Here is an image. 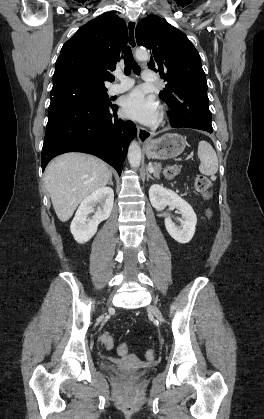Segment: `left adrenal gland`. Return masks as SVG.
Returning a JSON list of instances; mask_svg holds the SVG:
<instances>
[{
	"label": "left adrenal gland",
	"instance_id": "1",
	"mask_svg": "<svg viewBox=\"0 0 264 419\" xmlns=\"http://www.w3.org/2000/svg\"><path fill=\"white\" fill-rule=\"evenodd\" d=\"M152 166V164L150 163L149 164V167H151ZM149 179H152V180H154V178L150 175V173L147 171V180H149Z\"/></svg>",
	"mask_w": 264,
	"mask_h": 419
}]
</instances>
